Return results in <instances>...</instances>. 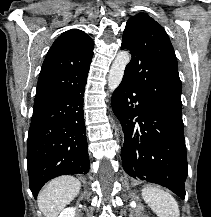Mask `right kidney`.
Instances as JSON below:
<instances>
[{
    "label": "right kidney",
    "mask_w": 211,
    "mask_h": 217,
    "mask_svg": "<svg viewBox=\"0 0 211 217\" xmlns=\"http://www.w3.org/2000/svg\"><path fill=\"white\" fill-rule=\"evenodd\" d=\"M75 208L69 207L64 209L58 217H75Z\"/></svg>",
    "instance_id": "obj_1"
}]
</instances>
